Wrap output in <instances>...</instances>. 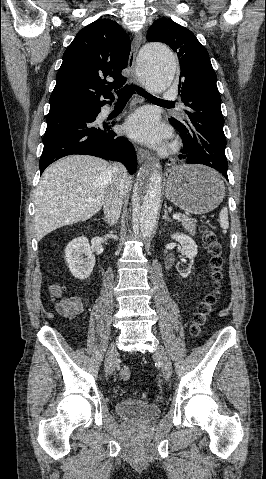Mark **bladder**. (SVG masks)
<instances>
[{
	"label": "bladder",
	"instance_id": "bladder-1",
	"mask_svg": "<svg viewBox=\"0 0 266 479\" xmlns=\"http://www.w3.org/2000/svg\"><path fill=\"white\" fill-rule=\"evenodd\" d=\"M116 411L119 416L138 423L153 422L161 414V409L158 405L135 400H122L117 402Z\"/></svg>",
	"mask_w": 266,
	"mask_h": 479
}]
</instances>
